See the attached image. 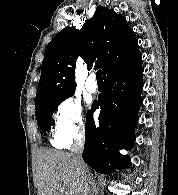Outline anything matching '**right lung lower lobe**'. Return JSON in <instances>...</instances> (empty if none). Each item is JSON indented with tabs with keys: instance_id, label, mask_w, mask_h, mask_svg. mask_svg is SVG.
Wrapping results in <instances>:
<instances>
[{
	"instance_id": "right-lung-lower-lobe-1",
	"label": "right lung lower lobe",
	"mask_w": 178,
	"mask_h": 195,
	"mask_svg": "<svg viewBox=\"0 0 178 195\" xmlns=\"http://www.w3.org/2000/svg\"><path fill=\"white\" fill-rule=\"evenodd\" d=\"M141 60L131 68L104 78L98 101L87 115L83 160L95 171L109 174L129 168L131 161L120 149L132 148L143 88ZM100 108L98 121L92 113Z\"/></svg>"
}]
</instances>
